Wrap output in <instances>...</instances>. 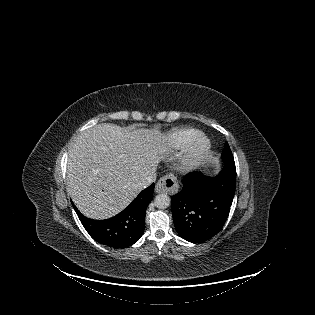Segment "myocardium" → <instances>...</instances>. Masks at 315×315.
<instances>
[{"label":"myocardium","instance_id":"myocardium-1","mask_svg":"<svg viewBox=\"0 0 315 315\" xmlns=\"http://www.w3.org/2000/svg\"><path fill=\"white\" fill-rule=\"evenodd\" d=\"M210 149V140L204 134H198L186 146V149L180 159V168L184 171H190L196 168L206 157Z\"/></svg>","mask_w":315,"mask_h":315}]
</instances>
